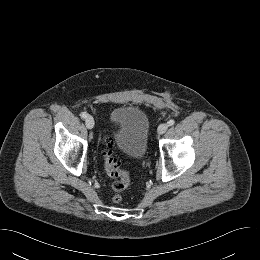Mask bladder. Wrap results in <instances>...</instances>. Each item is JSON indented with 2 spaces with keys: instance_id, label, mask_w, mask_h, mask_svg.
<instances>
[{
  "instance_id": "1",
  "label": "bladder",
  "mask_w": 260,
  "mask_h": 260,
  "mask_svg": "<svg viewBox=\"0 0 260 260\" xmlns=\"http://www.w3.org/2000/svg\"><path fill=\"white\" fill-rule=\"evenodd\" d=\"M109 120L113 139L119 149L129 158H142L148 147L149 120L139 108L122 106L114 109Z\"/></svg>"
}]
</instances>
